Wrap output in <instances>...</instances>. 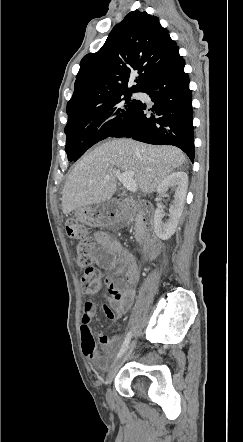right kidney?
Wrapping results in <instances>:
<instances>
[{"instance_id":"obj_1","label":"right kidney","mask_w":243,"mask_h":442,"mask_svg":"<svg viewBox=\"0 0 243 442\" xmlns=\"http://www.w3.org/2000/svg\"><path fill=\"white\" fill-rule=\"evenodd\" d=\"M170 188L175 191V195L173 204L169 208V219L163 221L165 214L162 208H157L154 215V230L162 240H168L176 231L187 194V174L182 171L171 173L157 186V193L165 194Z\"/></svg>"}]
</instances>
